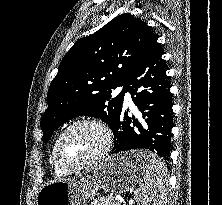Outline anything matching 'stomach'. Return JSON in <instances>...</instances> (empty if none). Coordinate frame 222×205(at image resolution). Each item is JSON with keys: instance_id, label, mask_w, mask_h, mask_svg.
I'll list each match as a JSON object with an SVG mask.
<instances>
[{"instance_id": "1", "label": "stomach", "mask_w": 222, "mask_h": 205, "mask_svg": "<svg viewBox=\"0 0 222 205\" xmlns=\"http://www.w3.org/2000/svg\"><path fill=\"white\" fill-rule=\"evenodd\" d=\"M146 151L125 152L111 156L78 180L53 181L39 191L36 205H84L99 189L127 192L141 183Z\"/></svg>"}]
</instances>
